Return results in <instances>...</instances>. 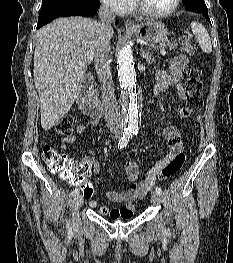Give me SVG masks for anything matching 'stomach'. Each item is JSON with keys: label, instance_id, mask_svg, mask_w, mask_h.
Listing matches in <instances>:
<instances>
[{"label": "stomach", "instance_id": "0dacf381", "mask_svg": "<svg viewBox=\"0 0 233 263\" xmlns=\"http://www.w3.org/2000/svg\"><path fill=\"white\" fill-rule=\"evenodd\" d=\"M138 38L151 43H160L167 39L168 30L164 23L158 20L146 21L129 30Z\"/></svg>", "mask_w": 233, "mask_h": 263}]
</instances>
